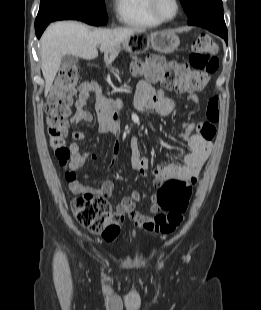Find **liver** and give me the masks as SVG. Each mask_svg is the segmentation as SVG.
<instances>
[{"label":"liver","mask_w":261,"mask_h":310,"mask_svg":"<svg viewBox=\"0 0 261 310\" xmlns=\"http://www.w3.org/2000/svg\"><path fill=\"white\" fill-rule=\"evenodd\" d=\"M140 28L95 29L75 21H60L51 24L41 37V69L45 79V96L60 68L61 59L70 54L85 60L98 56L100 51L107 56L116 46L129 39Z\"/></svg>","instance_id":"liver-1"}]
</instances>
